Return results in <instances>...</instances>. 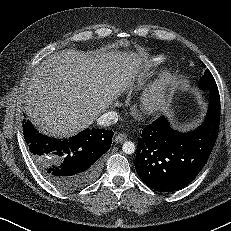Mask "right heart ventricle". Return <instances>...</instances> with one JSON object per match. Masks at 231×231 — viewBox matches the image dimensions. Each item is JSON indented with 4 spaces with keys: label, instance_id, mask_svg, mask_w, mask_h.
<instances>
[{
    "label": "right heart ventricle",
    "instance_id": "e07e8e85",
    "mask_svg": "<svg viewBox=\"0 0 231 231\" xmlns=\"http://www.w3.org/2000/svg\"><path fill=\"white\" fill-rule=\"evenodd\" d=\"M155 60H156L157 62H160V61H162V60H163V57H162V56L157 57Z\"/></svg>",
    "mask_w": 231,
    "mask_h": 231
}]
</instances>
